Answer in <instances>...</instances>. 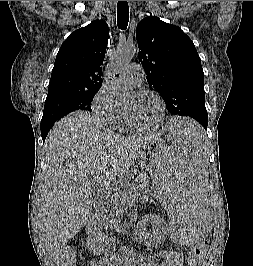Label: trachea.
Returning <instances> with one entry per match:
<instances>
[{"label": "trachea", "instance_id": "3493384b", "mask_svg": "<svg viewBox=\"0 0 253 266\" xmlns=\"http://www.w3.org/2000/svg\"><path fill=\"white\" fill-rule=\"evenodd\" d=\"M129 22V7L127 1H118L117 24L121 30H125Z\"/></svg>", "mask_w": 253, "mask_h": 266}]
</instances>
